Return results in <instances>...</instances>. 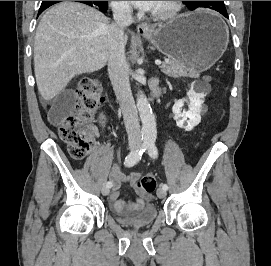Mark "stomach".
Wrapping results in <instances>:
<instances>
[{
	"mask_svg": "<svg viewBox=\"0 0 271 266\" xmlns=\"http://www.w3.org/2000/svg\"><path fill=\"white\" fill-rule=\"evenodd\" d=\"M161 53L185 65L189 74L207 70L219 60L229 42V32L219 15L197 11L144 33Z\"/></svg>",
	"mask_w": 271,
	"mask_h": 266,
	"instance_id": "stomach-1",
	"label": "stomach"
}]
</instances>
